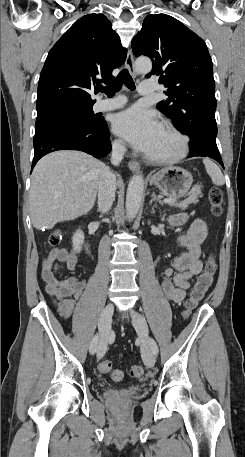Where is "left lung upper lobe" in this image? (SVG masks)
I'll list each match as a JSON object with an SVG mask.
<instances>
[{
    "label": "left lung upper lobe",
    "instance_id": "left-lung-upper-lobe-1",
    "mask_svg": "<svg viewBox=\"0 0 245 457\" xmlns=\"http://www.w3.org/2000/svg\"><path fill=\"white\" fill-rule=\"evenodd\" d=\"M132 50L135 56L151 58L153 68L146 77L159 76V83L168 88V99L157 108L175 126L196 113H215L211 57L204 41L184 24L167 14L148 15L132 40Z\"/></svg>",
    "mask_w": 245,
    "mask_h": 457
}]
</instances>
